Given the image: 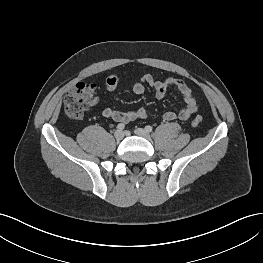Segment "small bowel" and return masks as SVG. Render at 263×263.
I'll use <instances>...</instances> for the list:
<instances>
[{"label":"small bowel","mask_w":263,"mask_h":263,"mask_svg":"<svg viewBox=\"0 0 263 263\" xmlns=\"http://www.w3.org/2000/svg\"><path fill=\"white\" fill-rule=\"evenodd\" d=\"M120 82V78L116 74H109L105 79V89L108 92L114 91ZM153 87L155 96L158 99H162L169 88H176L183 96L185 105L177 112L168 111L162 115L165 121H173L176 119L187 120L193 114L198 111V103L194 97L190 87L181 79L177 78H166L164 80H156L152 75L146 74L139 81L135 82L132 90L135 94L140 95L145 91L146 86ZM99 97L96 96L93 99V104L98 103ZM102 115L106 118H110L115 122L129 123L136 119L145 120L148 118V111L144 108L138 110L118 111L112 108H104Z\"/></svg>","instance_id":"1"}]
</instances>
